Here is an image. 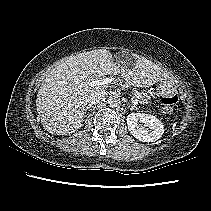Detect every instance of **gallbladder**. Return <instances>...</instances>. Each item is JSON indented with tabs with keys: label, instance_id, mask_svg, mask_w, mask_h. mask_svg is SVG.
Wrapping results in <instances>:
<instances>
[{
	"label": "gallbladder",
	"instance_id": "gallbladder-1",
	"mask_svg": "<svg viewBox=\"0 0 211 211\" xmlns=\"http://www.w3.org/2000/svg\"><path fill=\"white\" fill-rule=\"evenodd\" d=\"M121 57H126V56H128L129 54L127 53V52H122V53H120L119 54Z\"/></svg>",
	"mask_w": 211,
	"mask_h": 211
}]
</instances>
